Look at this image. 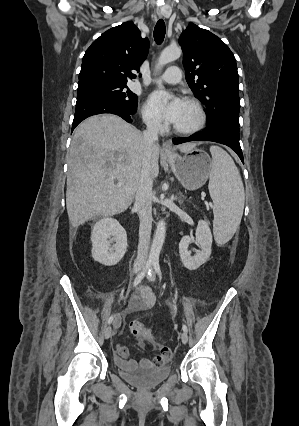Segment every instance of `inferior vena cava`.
Returning <instances> with one entry per match:
<instances>
[{
  "instance_id": "inferior-vena-cava-1",
  "label": "inferior vena cava",
  "mask_w": 299,
  "mask_h": 426,
  "mask_svg": "<svg viewBox=\"0 0 299 426\" xmlns=\"http://www.w3.org/2000/svg\"><path fill=\"white\" fill-rule=\"evenodd\" d=\"M147 126L143 133L145 144V157L142 163L141 176L135 195L134 208L138 212L139 226V243L137 250V258L134 267L143 266L148 258V250L150 245V236L152 229V175H151V152L158 142V132L160 123L154 119L145 120Z\"/></svg>"
}]
</instances>
